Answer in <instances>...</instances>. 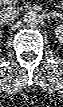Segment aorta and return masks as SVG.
<instances>
[{"instance_id":"762f6f07","label":"aorta","mask_w":63,"mask_h":107,"mask_svg":"<svg viewBox=\"0 0 63 107\" xmlns=\"http://www.w3.org/2000/svg\"><path fill=\"white\" fill-rule=\"evenodd\" d=\"M23 21L27 26L33 27L39 24L40 18L37 12L30 11L24 15Z\"/></svg>"}]
</instances>
